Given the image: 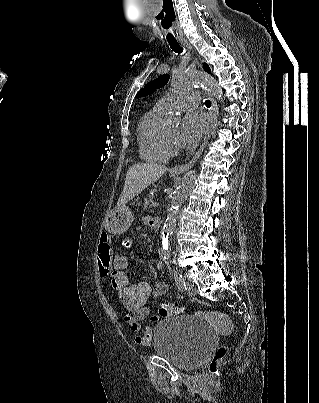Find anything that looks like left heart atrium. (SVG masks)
I'll return each mask as SVG.
<instances>
[{
    "label": "left heart atrium",
    "instance_id": "39dd6f15",
    "mask_svg": "<svg viewBox=\"0 0 319 403\" xmlns=\"http://www.w3.org/2000/svg\"><path fill=\"white\" fill-rule=\"evenodd\" d=\"M206 129V120L195 112L188 113L180 126L177 143L185 149L194 148Z\"/></svg>",
    "mask_w": 319,
    "mask_h": 403
}]
</instances>
